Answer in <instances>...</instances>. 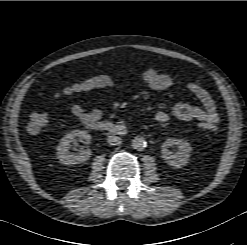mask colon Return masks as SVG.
Instances as JSON below:
<instances>
[{
	"instance_id": "colon-1",
	"label": "colon",
	"mask_w": 247,
	"mask_h": 245,
	"mask_svg": "<svg viewBox=\"0 0 247 245\" xmlns=\"http://www.w3.org/2000/svg\"><path fill=\"white\" fill-rule=\"evenodd\" d=\"M111 79H112L111 76H109L106 73L96 74L64 87L58 93V96H62V95L68 96L73 94L89 92L95 89L106 88L109 86ZM46 121H47V116L45 113L42 112L31 113L27 126L28 131L31 133H38L45 126ZM198 126L205 131L212 132L217 130V126L209 122H199Z\"/></svg>"
}]
</instances>
